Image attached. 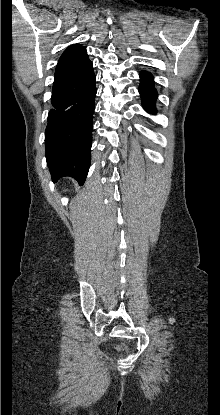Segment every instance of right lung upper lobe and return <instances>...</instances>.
Wrapping results in <instances>:
<instances>
[{"mask_svg": "<svg viewBox=\"0 0 220 415\" xmlns=\"http://www.w3.org/2000/svg\"><path fill=\"white\" fill-rule=\"evenodd\" d=\"M88 60L86 49L81 45L69 46L61 55L55 74L71 69Z\"/></svg>", "mask_w": 220, "mask_h": 415, "instance_id": "cb5924a9", "label": "right lung upper lobe"}]
</instances>
